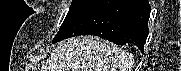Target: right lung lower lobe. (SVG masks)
Listing matches in <instances>:
<instances>
[{
  "label": "right lung lower lobe",
  "instance_id": "98d812e1",
  "mask_svg": "<svg viewBox=\"0 0 181 71\" xmlns=\"http://www.w3.org/2000/svg\"><path fill=\"white\" fill-rule=\"evenodd\" d=\"M150 12L148 0H94L61 27L52 42L78 35H96L117 45L133 44L143 53Z\"/></svg>",
  "mask_w": 181,
  "mask_h": 71
}]
</instances>
